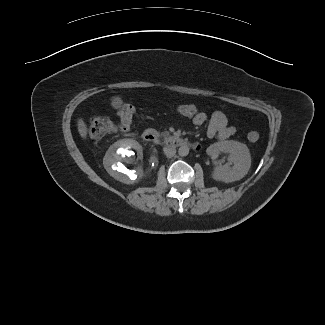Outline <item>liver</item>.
Instances as JSON below:
<instances>
[{
	"label": "liver",
	"instance_id": "liver-1",
	"mask_svg": "<svg viewBox=\"0 0 325 325\" xmlns=\"http://www.w3.org/2000/svg\"><path fill=\"white\" fill-rule=\"evenodd\" d=\"M123 104V101L120 97H114L112 99V106L114 108H120L121 105ZM77 127H78V132L80 134V136L85 140L87 139V132H88V128L86 123L84 122V120L82 118H79L77 121Z\"/></svg>",
	"mask_w": 325,
	"mask_h": 325
}]
</instances>
